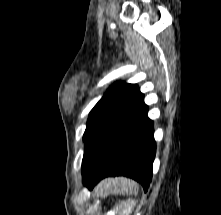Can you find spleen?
<instances>
[{"instance_id":"1","label":"spleen","mask_w":221,"mask_h":215,"mask_svg":"<svg viewBox=\"0 0 221 215\" xmlns=\"http://www.w3.org/2000/svg\"><path fill=\"white\" fill-rule=\"evenodd\" d=\"M112 185L115 188H118V187L124 188V187H127V186L130 187L133 184L130 181L121 178V179L113 180ZM135 206H136V200L128 199L127 201L121 202L119 205H117L116 206V211L120 210V215H129V214H131V212H132V210Z\"/></svg>"}]
</instances>
